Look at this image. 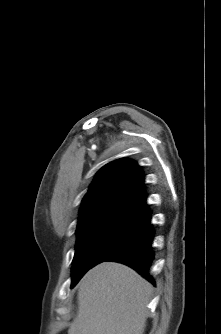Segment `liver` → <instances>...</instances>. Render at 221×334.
Returning a JSON list of instances; mask_svg holds the SVG:
<instances>
[{"instance_id":"1","label":"liver","mask_w":221,"mask_h":334,"mask_svg":"<svg viewBox=\"0 0 221 334\" xmlns=\"http://www.w3.org/2000/svg\"><path fill=\"white\" fill-rule=\"evenodd\" d=\"M152 285L128 266L103 262L79 283L69 334H143Z\"/></svg>"}]
</instances>
